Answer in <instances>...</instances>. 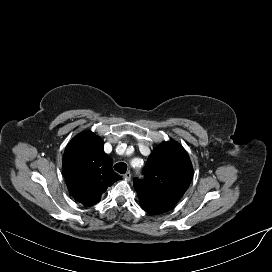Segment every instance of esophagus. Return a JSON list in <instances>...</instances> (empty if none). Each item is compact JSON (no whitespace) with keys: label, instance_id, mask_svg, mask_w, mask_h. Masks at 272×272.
I'll list each match as a JSON object with an SVG mask.
<instances>
[{"label":"esophagus","instance_id":"1","mask_svg":"<svg viewBox=\"0 0 272 272\" xmlns=\"http://www.w3.org/2000/svg\"><path fill=\"white\" fill-rule=\"evenodd\" d=\"M124 179L126 180H130L131 179V173L130 171L126 172L124 175H123Z\"/></svg>","mask_w":272,"mask_h":272}]
</instances>
